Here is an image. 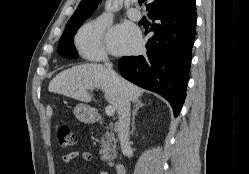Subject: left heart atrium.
I'll return each instance as SVG.
<instances>
[{"label":"left heart atrium","instance_id":"left-heart-atrium-1","mask_svg":"<svg viewBox=\"0 0 249 174\" xmlns=\"http://www.w3.org/2000/svg\"><path fill=\"white\" fill-rule=\"evenodd\" d=\"M139 42L138 33L124 25L112 29L107 37L108 46L114 53L133 52L139 47Z\"/></svg>","mask_w":249,"mask_h":174}]
</instances>
